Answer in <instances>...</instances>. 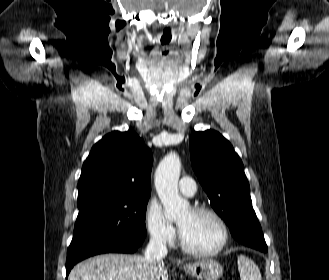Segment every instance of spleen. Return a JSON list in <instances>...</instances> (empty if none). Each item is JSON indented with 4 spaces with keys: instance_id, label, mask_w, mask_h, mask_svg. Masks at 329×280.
<instances>
[{
    "instance_id": "obj_1",
    "label": "spleen",
    "mask_w": 329,
    "mask_h": 280,
    "mask_svg": "<svg viewBox=\"0 0 329 280\" xmlns=\"http://www.w3.org/2000/svg\"><path fill=\"white\" fill-rule=\"evenodd\" d=\"M237 263L241 280H262L259 268L254 261L244 255H240Z\"/></svg>"
}]
</instances>
